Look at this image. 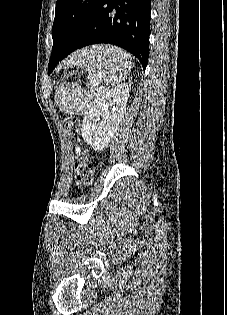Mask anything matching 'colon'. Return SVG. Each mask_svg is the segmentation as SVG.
<instances>
[{
	"label": "colon",
	"instance_id": "1",
	"mask_svg": "<svg viewBox=\"0 0 227 315\" xmlns=\"http://www.w3.org/2000/svg\"><path fill=\"white\" fill-rule=\"evenodd\" d=\"M66 132L72 138H78L80 134V122L77 118L69 117L65 123ZM93 178V163L91 158L84 152L77 155L74 164V179L78 188L90 185Z\"/></svg>",
	"mask_w": 227,
	"mask_h": 315
}]
</instances>
